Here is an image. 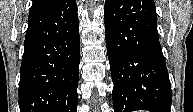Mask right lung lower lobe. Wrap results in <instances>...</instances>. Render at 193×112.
Returning a JSON list of instances; mask_svg holds the SVG:
<instances>
[{"label":"right lung lower lobe","mask_w":193,"mask_h":112,"mask_svg":"<svg viewBox=\"0 0 193 112\" xmlns=\"http://www.w3.org/2000/svg\"><path fill=\"white\" fill-rule=\"evenodd\" d=\"M79 48L75 0H58L29 15L20 70V112H77Z\"/></svg>","instance_id":"right-lung-lower-lobe-1"}]
</instances>
